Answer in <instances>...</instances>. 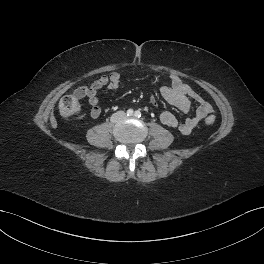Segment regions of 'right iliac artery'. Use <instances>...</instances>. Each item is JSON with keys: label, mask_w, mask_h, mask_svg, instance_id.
I'll use <instances>...</instances> for the list:
<instances>
[{"label": "right iliac artery", "mask_w": 264, "mask_h": 264, "mask_svg": "<svg viewBox=\"0 0 264 264\" xmlns=\"http://www.w3.org/2000/svg\"><path fill=\"white\" fill-rule=\"evenodd\" d=\"M132 115H133V110L132 109L127 110V116H132Z\"/></svg>", "instance_id": "1"}]
</instances>
